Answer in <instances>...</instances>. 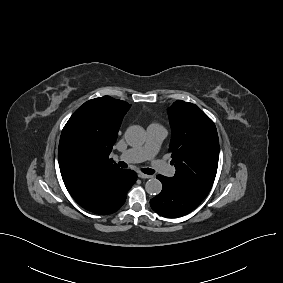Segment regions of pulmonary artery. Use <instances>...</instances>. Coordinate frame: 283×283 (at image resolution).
I'll use <instances>...</instances> for the list:
<instances>
[{"instance_id":"obj_1","label":"pulmonary artery","mask_w":283,"mask_h":283,"mask_svg":"<svg viewBox=\"0 0 283 283\" xmlns=\"http://www.w3.org/2000/svg\"><path fill=\"white\" fill-rule=\"evenodd\" d=\"M166 135L167 131L164 127L158 124H151L147 128L146 144L142 147L131 148L120 153L119 158L127 162L152 160V166L157 171L171 177L175 174V168L161 160L154 159Z\"/></svg>"}]
</instances>
